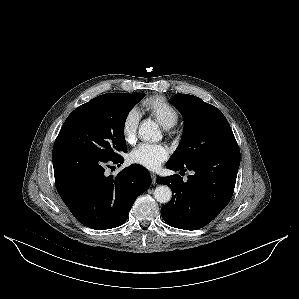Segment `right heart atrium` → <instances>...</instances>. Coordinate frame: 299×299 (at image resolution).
Returning <instances> with one entry per match:
<instances>
[{"label": "right heart atrium", "mask_w": 299, "mask_h": 299, "mask_svg": "<svg viewBox=\"0 0 299 299\" xmlns=\"http://www.w3.org/2000/svg\"><path fill=\"white\" fill-rule=\"evenodd\" d=\"M139 122L140 113L136 108L130 109L125 114L121 124V131L127 144H133L136 141Z\"/></svg>", "instance_id": "obj_1"}]
</instances>
